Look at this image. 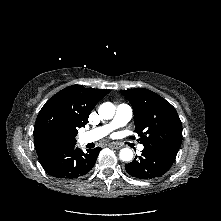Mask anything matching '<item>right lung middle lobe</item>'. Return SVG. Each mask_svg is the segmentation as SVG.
Listing matches in <instances>:
<instances>
[{
    "mask_svg": "<svg viewBox=\"0 0 221 221\" xmlns=\"http://www.w3.org/2000/svg\"><path fill=\"white\" fill-rule=\"evenodd\" d=\"M78 130L59 124H44L34 135L36 149H47L76 143Z\"/></svg>",
    "mask_w": 221,
    "mask_h": 221,
    "instance_id": "obj_1",
    "label": "right lung middle lobe"
}]
</instances>
